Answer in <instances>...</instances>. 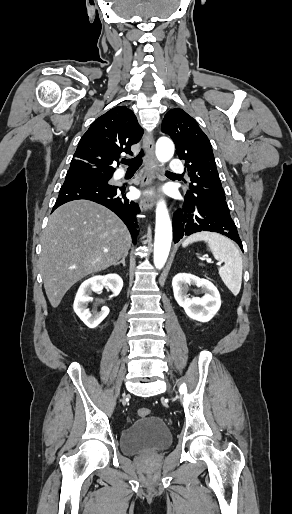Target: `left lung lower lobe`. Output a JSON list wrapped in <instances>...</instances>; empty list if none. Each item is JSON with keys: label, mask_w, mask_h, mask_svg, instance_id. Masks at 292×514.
<instances>
[{"label": "left lung lower lobe", "mask_w": 292, "mask_h": 514, "mask_svg": "<svg viewBox=\"0 0 292 514\" xmlns=\"http://www.w3.org/2000/svg\"><path fill=\"white\" fill-rule=\"evenodd\" d=\"M199 231L221 233L234 240L242 249L227 203L205 202L200 197L186 194L184 204L173 216V239L177 243L183 236Z\"/></svg>", "instance_id": "left-lung-lower-lobe-1"}]
</instances>
